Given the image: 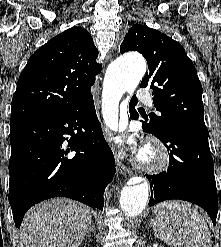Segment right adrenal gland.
I'll list each match as a JSON object with an SVG mask.
<instances>
[{"label":"right adrenal gland","mask_w":221,"mask_h":247,"mask_svg":"<svg viewBox=\"0 0 221 247\" xmlns=\"http://www.w3.org/2000/svg\"><path fill=\"white\" fill-rule=\"evenodd\" d=\"M90 232H92V233L95 232V227H94L93 223H91L90 228H89V230H88V232H87V235H89Z\"/></svg>","instance_id":"right-adrenal-gland-1"}]
</instances>
